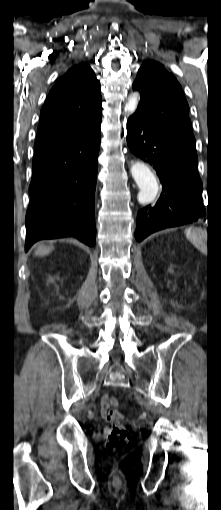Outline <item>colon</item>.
Segmentation results:
<instances>
[{
    "mask_svg": "<svg viewBox=\"0 0 221 510\" xmlns=\"http://www.w3.org/2000/svg\"><path fill=\"white\" fill-rule=\"evenodd\" d=\"M119 405L118 399H110V411L107 420L110 425L105 429L106 449L110 453L118 454L126 451L132 443L131 435L126 427L119 422L121 415L116 410Z\"/></svg>",
    "mask_w": 221,
    "mask_h": 510,
    "instance_id": "5ec220e1",
    "label": "colon"
}]
</instances>
